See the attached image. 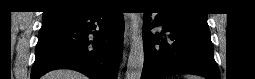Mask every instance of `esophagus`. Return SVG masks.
<instances>
[{
  "label": "esophagus",
  "instance_id": "34e87169",
  "mask_svg": "<svg viewBox=\"0 0 255 79\" xmlns=\"http://www.w3.org/2000/svg\"><path fill=\"white\" fill-rule=\"evenodd\" d=\"M126 19H131V20H132V18H130L128 14L126 15ZM128 26H129V24H128V22H127V24H126V29L128 28ZM132 29H133V27L131 26V29H130L131 32H132ZM127 36H128V32H127V30H126V36H125V42H126V43H127V41H128Z\"/></svg>",
  "mask_w": 255,
  "mask_h": 79
}]
</instances>
